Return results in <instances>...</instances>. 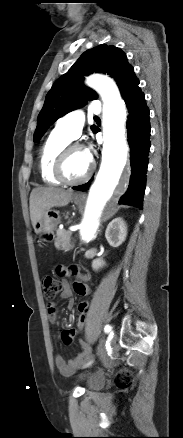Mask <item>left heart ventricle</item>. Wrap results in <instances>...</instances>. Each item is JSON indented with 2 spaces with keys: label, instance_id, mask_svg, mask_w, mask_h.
<instances>
[{
  "label": "left heart ventricle",
  "instance_id": "b2bd125f",
  "mask_svg": "<svg viewBox=\"0 0 183 438\" xmlns=\"http://www.w3.org/2000/svg\"><path fill=\"white\" fill-rule=\"evenodd\" d=\"M89 165L90 160L86 152L81 149L74 150L66 160L64 175L68 180H78L86 174Z\"/></svg>",
  "mask_w": 183,
  "mask_h": 438
}]
</instances>
